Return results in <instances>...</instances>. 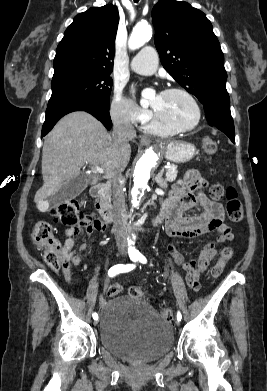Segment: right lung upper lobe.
<instances>
[{"instance_id": "right-lung-upper-lobe-1", "label": "right lung upper lobe", "mask_w": 267, "mask_h": 391, "mask_svg": "<svg viewBox=\"0 0 267 391\" xmlns=\"http://www.w3.org/2000/svg\"><path fill=\"white\" fill-rule=\"evenodd\" d=\"M118 23V9L113 5L76 15L57 47L53 76L72 71H112Z\"/></svg>"}]
</instances>
